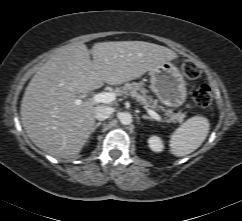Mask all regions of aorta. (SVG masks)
<instances>
[{
  "mask_svg": "<svg viewBox=\"0 0 242 221\" xmlns=\"http://www.w3.org/2000/svg\"><path fill=\"white\" fill-rule=\"evenodd\" d=\"M119 120L123 125H130L132 123V115L129 112H123L119 115Z\"/></svg>",
  "mask_w": 242,
  "mask_h": 221,
  "instance_id": "obj_1",
  "label": "aorta"
}]
</instances>
